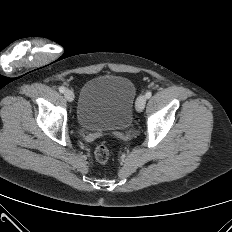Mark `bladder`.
Wrapping results in <instances>:
<instances>
[{
	"mask_svg": "<svg viewBox=\"0 0 232 232\" xmlns=\"http://www.w3.org/2000/svg\"><path fill=\"white\" fill-rule=\"evenodd\" d=\"M136 90L133 82L120 75L89 79L80 92L76 119L89 131H122L133 118Z\"/></svg>",
	"mask_w": 232,
	"mask_h": 232,
	"instance_id": "obj_1",
	"label": "bladder"
}]
</instances>
